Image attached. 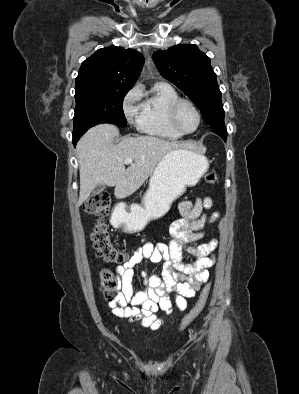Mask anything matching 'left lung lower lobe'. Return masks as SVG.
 Instances as JSON below:
<instances>
[{"instance_id":"1","label":"left lung lower lobe","mask_w":299,"mask_h":394,"mask_svg":"<svg viewBox=\"0 0 299 394\" xmlns=\"http://www.w3.org/2000/svg\"><path fill=\"white\" fill-rule=\"evenodd\" d=\"M213 131L226 141V131L223 128H214Z\"/></svg>"}]
</instances>
